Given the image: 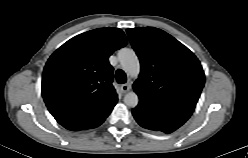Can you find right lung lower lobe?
I'll use <instances>...</instances> for the list:
<instances>
[{"instance_id":"98d812e1","label":"right lung lower lobe","mask_w":248,"mask_h":158,"mask_svg":"<svg viewBox=\"0 0 248 158\" xmlns=\"http://www.w3.org/2000/svg\"><path fill=\"white\" fill-rule=\"evenodd\" d=\"M105 119H103V120H101L100 122H98V123H96V124H94V125H92L91 127H89V128H95V127H97V126H99L100 124H102L103 123V121H104ZM88 129V128H87Z\"/></svg>"}]
</instances>
